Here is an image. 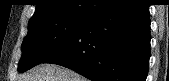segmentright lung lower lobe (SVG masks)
I'll return each mask as SVG.
<instances>
[{
	"label": "right lung lower lobe",
	"mask_w": 169,
	"mask_h": 81,
	"mask_svg": "<svg viewBox=\"0 0 169 81\" xmlns=\"http://www.w3.org/2000/svg\"><path fill=\"white\" fill-rule=\"evenodd\" d=\"M149 58V5L116 0L42 63L67 67L92 81H145Z\"/></svg>",
	"instance_id": "98d812e1"
}]
</instances>
